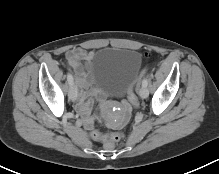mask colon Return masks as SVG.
Instances as JSON below:
<instances>
[{
    "label": "colon",
    "mask_w": 219,
    "mask_h": 174,
    "mask_svg": "<svg viewBox=\"0 0 219 174\" xmlns=\"http://www.w3.org/2000/svg\"><path fill=\"white\" fill-rule=\"evenodd\" d=\"M145 71H143L139 76L135 79V81L131 84L129 90H128V100L129 102L134 106L138 107L139 101L137 98L136 90L139 83L140 78L144 75ZM122 133H112L109 135H105L101 133L100 131L94 130L91 132V137L94 140L102 141L105 143V146L108 149H112L114 147V144L118 141H120L123 138Z\"/></svg>",
    "instance_id": "colon-1"
}]
</instances>
